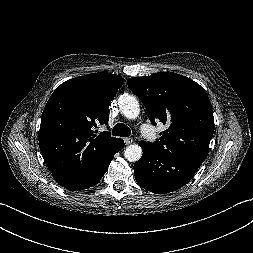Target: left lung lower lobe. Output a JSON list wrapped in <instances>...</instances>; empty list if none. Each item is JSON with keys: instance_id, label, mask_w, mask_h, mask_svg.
Returning <instances> with one entry per match:
<instances>
[{"instance_id": "obj_1", "label": "left lung lower lobe", "mask_w": 253, "mask_h": 253, "mask_svg": "<svg viewBox=\"0 0 253 253\" xmlns=\"http://www.w3.org/2000/svg\"><path fill=\"white\" fill-rule=\"evenodd\" d=\"M143 155L134 164L135 178L139 186L157 194L175 191L190 181L203 161L195 158L179 163L162 159L157 150L140 141Z\"/></svg>"}]
</instances>
